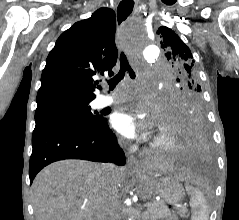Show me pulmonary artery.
Wrapping results in <instances>:
<instances>
[{"label": "pulmonary artery", "instance_id": "e3ab8cb5", "mask_svg": "<svg viewBox=\"0 0 239 220\" xmlns=\"http://www.w3.org/2000/svg\"><path fill=\"white\" fill-rule=\"evenodd\" d=\"M116 100V97L114 95H104L100 98L99 103L101 105H109L113 103Z\"/></svg>", "mask_w": 239, "mask_h": 220}]
</instances>
